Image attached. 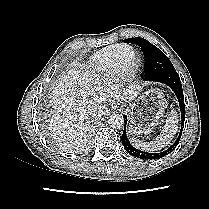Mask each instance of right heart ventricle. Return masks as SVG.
Listing matches in <instances>:
<instances>
[{
    "label": "right heart ventricle",
    "mask_w": 209,
    "mask_h": 209,
    "mask_svg": "<svg viewBox=\"0 0 209 209\" xmlns=\"http://www.w3.org/2000/svg\"><path fill=\"white\" fill-rule=\"evenodd\" d=\"M121 47L120 44L111 45L98 51L92 56L88 65L87 73L94 80H103L111 73V66L114 54ZM137 62V54H134L133 60L130 63L133 67Z\"/></svg>",
    "instance_id": "1"
}]
</instances>
